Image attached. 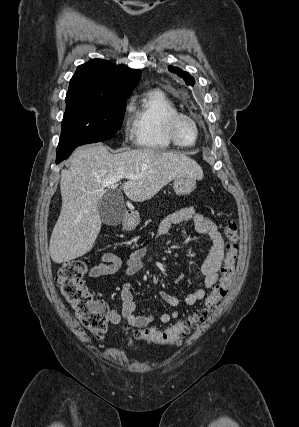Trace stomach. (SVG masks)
<instances>
[{
	"mask_svg": "<svg viewBox=\"0 0 299 427\" xmlns=\"http://www.w3.org/2000/svg\"><path fill=\"white\" fill-rule=\"evenodd\" d=\"M195 178L184 176L174 179L173 189L178 196H186L191 194L196 188ZM140 223L139 213H133L125 222L128 229L135 228Z\"/></svg>",
	"mask_w": 299,
	"mask_h": 427,
	"instance_id": "0dacf381",
	"label": "stomach"
}]
</instances>
